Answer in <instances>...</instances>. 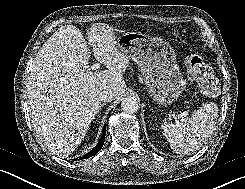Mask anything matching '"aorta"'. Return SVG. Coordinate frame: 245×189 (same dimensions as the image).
<instances>
[{
    "label": "aorta",
    "instance_id": "1",
    "mask_svg": "<svg viewBox=\"0 0 245 189\" xmlns=\"http://www.w3.org/2000/svg\"><path fill=\"white\" fill-rule=\"evenodd\" d=\"M121 107L125 112L135 113L139 109V102L134 97H127L122 101Z\"/></svg>",
    "mask_w": 245,
    "mask_h": 189
}]
</instances>
